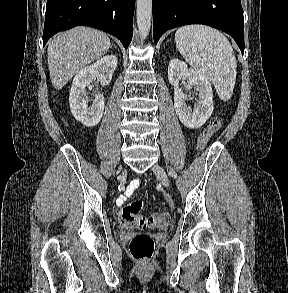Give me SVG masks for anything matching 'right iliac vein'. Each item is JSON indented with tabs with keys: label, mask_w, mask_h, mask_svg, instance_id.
Wrapping results in <instances>:
<instances>
[{
	"label": "right iliac vein",
	"mask_w": 288,
	"mask_h": 293,
	"mask_svg": "<svg viewBox=\"0 0 288 293\" xmlns=\"http://www.w3.org/2000/svg\"><path fill=\"white\" fill-rule=\"evenodd\" d=\"M126 176H127V171L124 170V171L122 172V174L120 175L119 180H120V181L124 180V179L126 178Z\"/></svg>",
	"instance_id": "1"
}]
</instances>
